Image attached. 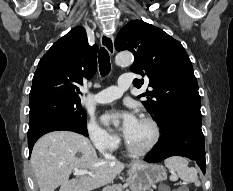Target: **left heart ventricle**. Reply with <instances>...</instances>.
<instances>
[{"instance_id": "b2bd125f", "label": "left heart ventricle", "mask_w": 233, "mask_h": 191, "mask_svg": "<svg viewBox=\"0 0 233 191\" xmlns=\"http://www.w3.org/2000/svg\"><path fill=\"white\" fill-rule=\"evenodd\" d=\"M153 135L152 126L147 121L138 119L126 139L135 146L145 147L152 141Z\"/></svg>"}]
</instances>
